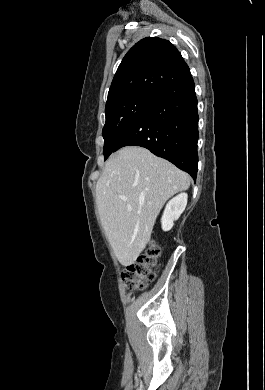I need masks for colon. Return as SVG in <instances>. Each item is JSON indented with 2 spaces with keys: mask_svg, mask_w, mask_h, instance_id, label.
Wrapping results in <instances>:
<instances>
[{
  "mask_svg": "<svg viewBox=\"0 0 265 390\" xmlns=\"http://www.w3.org/2000/svg\"><path fill=\"white\" fill-rule=\"evenodd\" d=\"M160 254V247L152 242L136 261L126 268L122 277L130 291L142 290L155 279Z\"/></svg>",
  "mask_w": 265,
  "mask_h": 390,
  "instance_id": "1",
  "label": "colon"
}]
</instances>
